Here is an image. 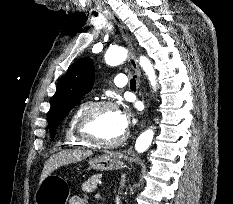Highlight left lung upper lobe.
Returning a JSON list of instances; mask_svg holds the SVG:
<instances>
[{
	"mask_svg": "<svg viewBox=\"0 0 233 204\" xmlns=\"http://www.w3.org/2000/svg\"><path fill=\"white\" fill-rule=\"evenodd\" d=\"M95 69L90 58L74 63L60 81L50 108L48 125L53 140L62 120L73 109L80 98L87 94L94 83Z\"/></svg>",
	"mask_w": 233,
	"mask_h": 204,
	"instance_id": "left-lung-upper-lobe-1",
	"label": "left lung upper lobe"
}]
</instances>
